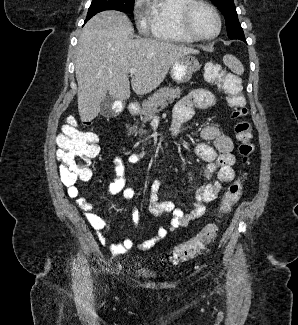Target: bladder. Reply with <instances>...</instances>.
Masks as SVG:
<instances>
[{"instance_id": "obj_1", "label": "bladder", "mask_w": 298, "mask_h": 325, "mask_svg": "<svg viewBox=\"0 0 298 325\" xmlns=\"http://www.w3.org/2000/svg\"><path fill=\"white\" fill-rule=\"evenodd\" d=\"M133 273L135 276L144 279H153L157 277V273L155 271H153L152 269L146 266L139 265V264L134 265Z\"/></svg>"}]
</instances>
